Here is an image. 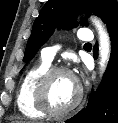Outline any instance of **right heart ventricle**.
Returning a JSON list of instances; mask_svg holds the SVG:
<instances>
[{
    "label": "right heart ventricle",
    "mask_w": 118,
    "mask_h": 123,
    "mask_svg": "<svg viewBox=\"0 0 118 123\" xmlns=\"http://www.w3.org/2000/svg\"><path fill=\"white\" fill-rule=\"evenodd\" d=\"M51 67V62L42 59L31 67L22 78L16 97L19 111L28 118L41 119L46 113L36 103V89L42 75Z\"/></svg>",
    "instance_id": "obj_1"
}]
</instances>
